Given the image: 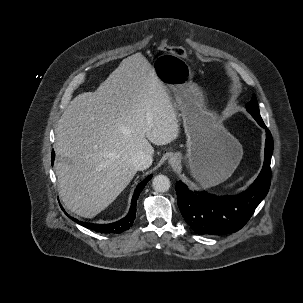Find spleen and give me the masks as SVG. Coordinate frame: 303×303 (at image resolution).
I'll return each instance as SVG.
<instances>
[{"instance_id":"1","label":"spleen","mask_w":303,"mask_h":303,"mask_svg":"<svg viewBox=\"0 0 303 303\" xmlns=\"http://www.w3.org/2000/svg\"><path fill=\"white\" fill-rule=\"evenodd\" d=\"M233 184H230L229 186H226V187H231Z\"/></svg>"}]
</instances>
